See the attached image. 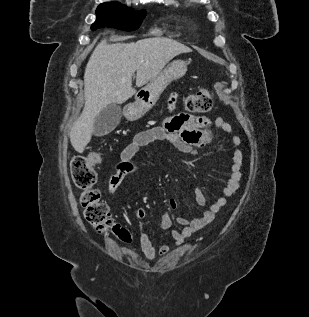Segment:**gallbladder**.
Segmentation results:
<instances>
[{
	"label": "gallbladder",
	"instance_id": "gallbladder-1",
	"mask_svg": "<svg viewBox=\"0 0 309 317\" xmlns=\"http://www.w3.org/2000/svg\"><path fill=\"white\" fill-rule=\"evenodd\" d=\"M121 108L117 104H109L95 117L94 135L104 136L112 132L121 120Z\"/></svg>",
	"mask_w": 309,
	"mask_h": 317
}]
</instances>
